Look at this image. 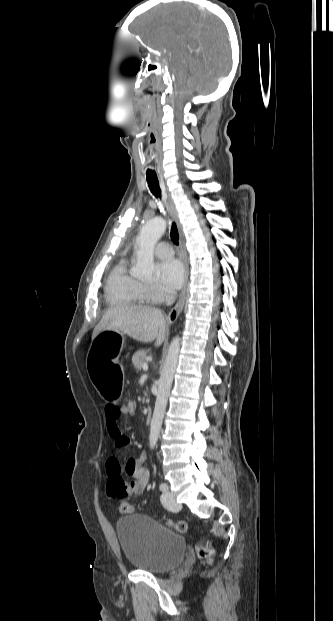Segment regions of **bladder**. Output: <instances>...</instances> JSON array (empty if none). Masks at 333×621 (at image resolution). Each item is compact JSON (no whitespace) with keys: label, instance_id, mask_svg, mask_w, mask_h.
I'll return each instance as SVG.
<instances>
[{"label":"bladder","instance_id":"bladder-1","mask_svg":"<svg viewBox=\"0 0 333 621\" xmlns=\"http://www.w3.org/2000/svg\"><path fill=\"white\" fill-rule=\"evenodd\" d=\"M116 532L121 551L135 570L165 573L184 559L185 538L149 516L122 517L116 522Z\"/></svg>","mask_w":333,"mask_h":621}]
</instances>
